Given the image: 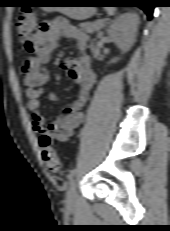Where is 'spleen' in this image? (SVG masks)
<instances>
[{"label":"spleen","instance_id":"3e777b00","mask_svg":"<svg viewBox=\"0 0 170 231\" xmlns=\"http://www.w3.org/2000/svg\"><path fill=\"white\" fill-rule=\"evenodd\" d=\"M106 11L109 15H113L115 13V8L113 7H106Z\"/></svg>","mask_w":170,"mask_h":231}]
</instances>
